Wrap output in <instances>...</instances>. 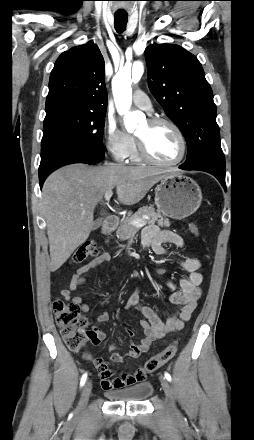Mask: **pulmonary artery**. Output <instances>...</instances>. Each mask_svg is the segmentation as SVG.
Wrapping results in <instances>:
<instances>
[{
  "instance_id": "pulmonary-artery-1",
  "label": "pulmonary artery",
  "mask_w": 254,
  "mask_h": 440,
  "mask_svg": "<svg viewBox=\"0 0 254 440\" xmlns=\"http://www.w3.org/2000/svg\"><path fill=\"white\" fill-rule=\"evenodd\" d=\"M133 102L134 104L147 111L148 113H151L153 111L152 104L150 102V99L148 96L141 90H136L133 94Z\"/></svg>"
}]
</instances>
